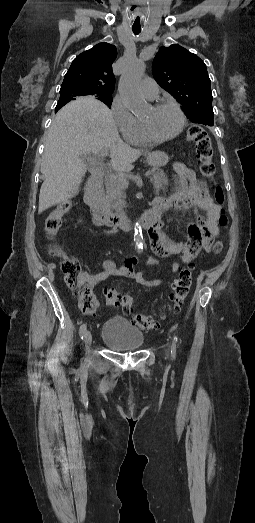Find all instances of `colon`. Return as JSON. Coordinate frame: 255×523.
Segmentation results:
<instances>
[{
    "label": "colon",
    "mask_w": 255,
    "mask_h": 523,
    "mask_svg": "<svg viewBox=\"0 0 255 523\" xmlns=\"http://www.w3.org/2000/svg\"><path fill=\"white\" fill-rule=\"evenodd\" d=\"M187 139L195 146V153L202 176L213 180L216 173V166L213 162L212 143L207 132L203 127L193 125L188 129ZM214 196L217 204L222 205L224 203V193L220 186H216ZM72 205L73 202L70 199L61 202L46 219L45 230L50 240L49 253L54 257L62 259V270L65 282L68 287L76 291L81 310L85 313H93L98 307V302L92 292L91 285L84 280L79 261L75 257L67 255L54 241L56 234L63 225L64 216L71 210ZM218 223L222 228L227 225L228 217L224 211H221ZM222 248V242L218 241L215 243L213 250L215 253H220ZM192 273L193 269L191 267L182 269L178 278L175 279L172 284L170 309L173 312H179L182 308L191 287ZM105 298L107 305L121 306L125 312H131L135 305V298L132 294L126 293L120 295V293L114 289L108 290ZM133 320L137 326L144 330H151L160 326L153 317L145 314H136Z\"/></svg>",
    "instance_id": "1"
}]
</instances>
